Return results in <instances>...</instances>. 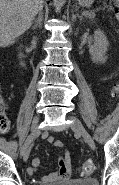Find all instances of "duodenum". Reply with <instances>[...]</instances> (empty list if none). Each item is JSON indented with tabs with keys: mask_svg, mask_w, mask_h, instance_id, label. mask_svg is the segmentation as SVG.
Returning a JSON list of instances; mask_svg holds the SVG:
<instances>
[{
	"mask_svg": "<svg viewBox=\"0 0 119 185\" xmlns=\"http://www.w3.org/2000/svg\"><path fill=\"white\" fill-rule=\"evenodd\" d=\"M20 62L23 66H26L25 60H24V54L22 52L19 53Z\"/></svg>",
	"mask_w": 119,
	"mask_h": 185,
	"instance_id": "410a0bca",
	"label": "duodenum"
}]
</instances>
